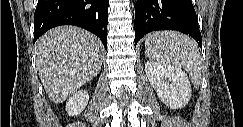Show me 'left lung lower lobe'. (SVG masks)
Wrapping results in <instances>:
<instances>
[{
    "instance_id": "left-lung-lower-lobe-1",
    "label": "left lung lower lobe",
    "mask_w": 243,
    "mask_h": 127,
    "mask_svg": "<svg viewBox=\"0 0 243 127\" xmlns=\"http://www.w3.org/2000/svg\"><path fill=\"white\" fill-rule=\"evenodd\" d=\"M135 45L147 33L177 30L193 37L202 46L198 19L191 0H137Z\"/></svg>"
}]
</instances>
